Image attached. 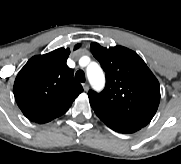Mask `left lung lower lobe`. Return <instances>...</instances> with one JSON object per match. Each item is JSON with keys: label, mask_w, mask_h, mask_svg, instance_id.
<instances>
[{"label": "left lung lower lobe", "mask_w": 181, "mask_h": 164, "mask_svg": "<svg viewBox=\"0 0 181 164\" xmlns=\"http://www.w3.org/2000/svg\"><path fill=\"white\" fill-rule=\"evenodd\" d=\"M96 115L102 120L109 128L116 132L120 133H134L138 130H140L142 127L125 121L118 119L116 117H113L111 115L105 114V113H96Z\"/></svg>", "instance_id": "obj_1"}]
</instances>
